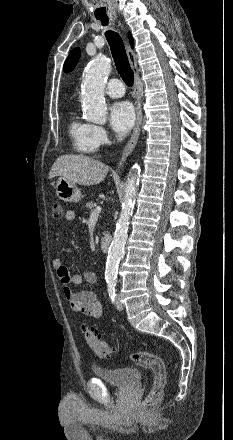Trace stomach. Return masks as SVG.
<instances>
[{"label":"stomach","mask_w":233,"mask_h":440,"mask_svg":"<svg viewBox=\"0 0 233 440\" xmlns=\"http://www.w3.org/2000/svg\"><path fill=\"white\" fill-rule=\"evenodd\" d=\"M56 195L65 202H79L82 198L80 189L74 182L60 177L55 183Z\"/></svg>","instance_id":"obj_1"}]
</instances>
